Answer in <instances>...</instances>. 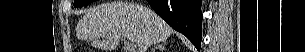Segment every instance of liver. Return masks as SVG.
<instances>
[{
	"mask_svg": "<svg viewBox=\"0 0 305 52\" xmlns=\"http://www.w3.org/2000/svg\"><path fill=\"white\" fill-rule=\"evenodd\" d=\"M76 30L81 39H89L92 46L105 51L116 49L121 38H128L141 52L152 44L166 41L173 33L153 10L123 1L90 9Z\"/></svg>",
	"mask_w": 305,
	"mask_h": 52,
	"instance_id": "obj_1",
	"label": "liver"
}]
</instances>
